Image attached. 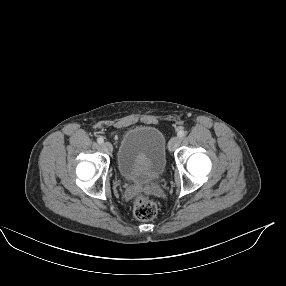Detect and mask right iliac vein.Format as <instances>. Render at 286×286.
<instances>
[{"label": "right iliac vein", "instance_id": "obj_1", "mask_svg": "<svg viewBox=\"0 0 286 286\" xmlns=\"http://www.w3.org/2000/svg\"><path fill=\"white\" fill-rule=\"evenodd\" d=\"M102 148L107 153H111L113 151V146L110 142H104L102 144Z\"/></svg>", "mask_w": 286, "mask_h": 286}]
</instances>
